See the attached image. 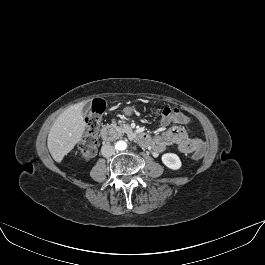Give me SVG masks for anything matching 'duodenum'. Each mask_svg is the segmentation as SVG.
I'll use <instances>...</instances> for the list:
<instances>
[{
    "label": "duodenum",
    "instance_id": "obj_1",
    "mask_svg": "<svg viewBox=\"0 0 265 265\" xmlns=\"http://www.w3.org/2000/svg\"><path fill=\"white\" fill-rule=\"evenodd\" d=\"M118 135V131L115 128L105 126L101 130V138L105 142H109L115 139ZM130 138L137 141L140 145L147 147L151 144V138L147 133L135 132L130 134Z\"/></svg>",
    "mask_w": 265,
    "mask_h": 265
}]
</instances>
